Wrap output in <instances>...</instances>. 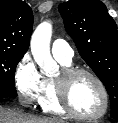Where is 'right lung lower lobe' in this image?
Returning a JSON list of instances; mask_svg holds the SVG:
<instances>
[{"instance_id": "98d812e1", "label": "right lung lower lobe", "mask_w": 118, "mask_h": 123, "mask_svg": "<svg viewBox=\"0 0 118 123\" xmlns=\"http://www.w3.org/2000/svg\"><path fill=\"white\" fill-rule=\"evenodd\" d=\"M0 98H9V97H7V96H3V95H0Z\"/></svg>"}]
</instances>
